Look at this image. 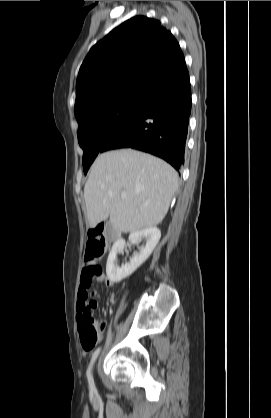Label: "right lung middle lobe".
Returning a JSON list of instances; mask_svg holds the SVG:
<instances>
[{
	"mask_svg": "<svg viewBox=\"0 0 271 418\" xmlns=\"http://www.w3.org/2000/svg\"><path fill=\"white\" fill-rule=\"evenodd\" d=\"M148 101L149 98L140 95L121 94L75 114L85 174L106 138Z\"/></svg>",
	"mask_w": 271,
	"mask_h": 418,
	"instance_id": "dd1d6c3e",
	"label": "right lung middle lobe"
}]
</instances>
